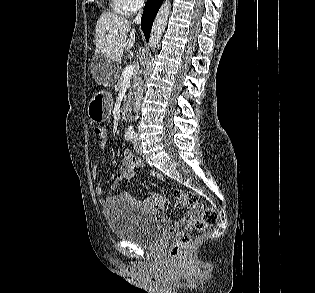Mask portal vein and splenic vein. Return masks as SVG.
<instances>
[{
	"mask_svg": "<svg viewBox=\"0 0 315 293\" xmlns=\"http://www.w3.org/2000/svg\"><path fill=\"white\" fill-rule=\"evenodd\" d=\"M134 71H135V66L134 65H129L123 70L122 76L125 79H129L133 75Z\"/></svg>",
	"mask_w": 315,
	"mask_h": 293,
	"instance_id": "1",
	"label": "portal vein and splenic vein"
}]
</instances>
